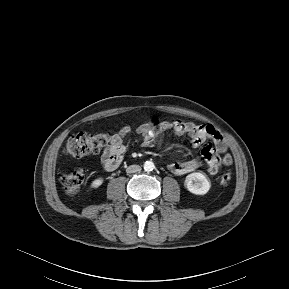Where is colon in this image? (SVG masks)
I'll use <instances>...</instances> for the list:
<instances>
[{
  "mask_svg": "<svg viewBox=\"0 0 289 289\" xmlns=\"http://www.w3.org/2000/svg\"><path fill=\"white\" fill-rule=\"evenodd\" d=\"M109 140L110 136L107 132L95 134L78 133L67 140L63 147V152L72 157L97 154L107 147ZM231 177L232 170H226L220 178V184H228ZM85 180L86 172L83 169H75L61 177V184L67 194L74 195L81 189Z\"/></svg>",
  "mask_w": 289,
  "mask_h": 289,
  "instance_id": "1",
  "label": "colon"
}]
</instances>
